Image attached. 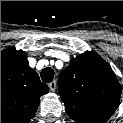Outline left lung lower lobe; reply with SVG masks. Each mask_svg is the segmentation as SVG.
<instances>
[{"mask_svg": "<svg viewBox=\"0 0 123 123\" xmlns=\"http://www.w3.org/2000/svg\"><path fill=\"white\" fill-rule=\"evenodd\" d=\"M74 121H76L77 123H100L99 121L91 120L85 117L75 118Z\"/></svg>", "mask_w": 123, "mask_h": 123, "instance_id": "0a47b994", "label": "left lung lower lobe"}]
</instances>
